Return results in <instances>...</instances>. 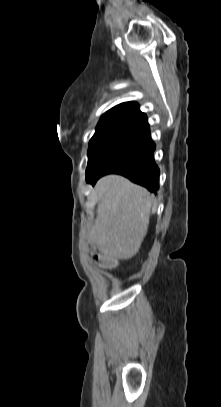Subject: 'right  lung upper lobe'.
Listing matches in <instances>:
<instances>
[{"label":"right lung upper lobe","mask_w":221,"mask_h":407,"mask_svg":"<svg viewBox=\"0 0 221 407\" xmlns=\"http://www.w3.org/2000/svg\"><path fill=\"white\" fill-rule=\"evenodd\" d=\"M148 124L147 117L135 102L121 103L107 111L100 119L96 131L116 127L141 128Z\"/></svg>","instance_id":"1"}]
</instances>
